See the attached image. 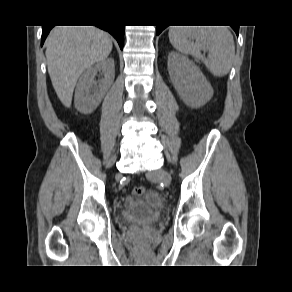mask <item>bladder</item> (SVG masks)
<instances>
[{
    "label": "bladder",
    "instance_id": "31cf9c89",
    "mask_svg": "<svg viewBox=\"0 0 292 292\" xmlns=\"http://www.w3.org/2000/svg\"><path fill=\"white\" fill-rule=\"evenodd\" d=\"M162 201L160 197L151 192L141 199L128 200L123 208L122 216L128 223L151 224L161 217Z\"/></svg>",
    "mask_w": 292,
    "mask_h": 292
}]
</instances>
